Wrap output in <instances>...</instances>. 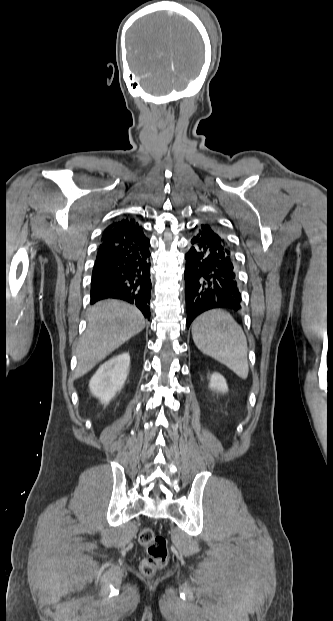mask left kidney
Returning <instances> with one entry per match:
<instances>
[{
    "label": "left kidney",
    "mask_w": 333,
    "mask_h": 621,
    "mask_svg": "<svg viewBox=\"0 0 333 621\" xmlns=\"http://www.w3.org/2000/svg\"><path fill=\"white\" fill-rule=\"evenodd\" d=\"M209 380H210L209 387L211 388V390H214L220 393H226L228 391L226 380L221 374L213 373L209 377Z\"/></svg>",
    "instance_id": "obj_1"
}]
</instances>
